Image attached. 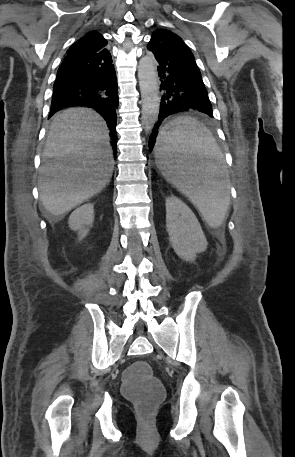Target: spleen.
I'll use <instances>...</instances> for the list:
<instances>
[{"instance_id": "spleen-1", "label": "spleen", "mask_w": 295, "mask_h": 457, "mask_svg": "<svg viewBox=\"0 0 295 457\" xmlns=\"http://www.w3.org/2000/svg\"><path fill=\"white\" fill-rule=\"evenodd\" d=\"M155 155L163 176L218 228L230 203V179L210 131L192 117H178L159 132Z\"/></svg>"}]
</instances>
